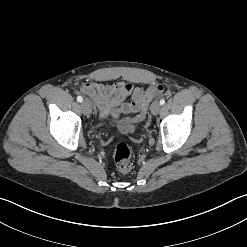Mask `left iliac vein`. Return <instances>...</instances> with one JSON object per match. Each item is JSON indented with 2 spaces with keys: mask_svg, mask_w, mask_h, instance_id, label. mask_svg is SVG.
I'll use <instances>...</instances> for the list:
<instances>
[{
  "mask_svg": "<svg viewBox=\"0 0 247 247\" xmlns=\"http://www.w3.org/2000/svg\"><path fill=\"white\" fill-rule=\"evenodd\" d=\"M161 109V104L159 102H154L151 106V113L157 115Z\"/></svg>",
  "mask_w": 247,
  "mask_h": 247,
  "instance_id": "4c4485c4",
  "label": "left iliac vein"
}]
</instances>
